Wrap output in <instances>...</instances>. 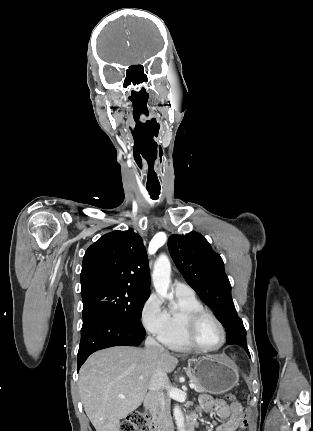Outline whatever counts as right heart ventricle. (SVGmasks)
Returning <instances> with one entry per match:
<instances>
[{
	"label": "right heart ventricle",
	"mask_w": 313,
	"mask_h": 431,
	"mask_svg": "<svg viewBox=\"0 0 313 431\" xmlns=\"http://www.w3.org/2000/svg\"><path fill=\"white\" fill-rule=\"evenodd\" d=\"M178 306L167 311L168 326L161 338L163 344L176 351L193 349L185 337V327L189 316L203 308L202 303L194 295H177Z\"/></svg>",
	"instance_id": "e07e8e85"
}]
</instances>
